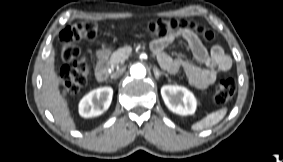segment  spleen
<instances>
[{
  "instance_id": "obj_1",
  "label": "spleen",
  "mask_w": 283,
  "mask_h": 162,
  "mask_svg": "<svg viewBox=\"0 0 283 162\" xmlns=\"http://www.w3.org/2000/svg\"><path fill=\"white\" fill-rule=\"evenodd\" d=\"M226 113H227V108H222L220 110H217L216 112H212L202 120L194 123L191 128L193 130H203L206 128H210L216 125L217 123H219L224 118Z\"/></svg>"
}]
</instances>
